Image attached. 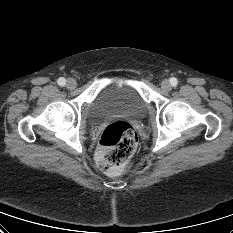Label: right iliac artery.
I'll return each instance as SVG.
<instances>
[{
	"label": "right iliac artery",
	"mask_w": 233,
	"mask_h": 233,
	"mask_svg": "<svg viewBox=\"0 0 233 233\" xmlns=\"http://www.w3.org/2000/svg\"><path fill=\"white\" fill-rule=\"evenodd\" d=\"M57 82H58V84H59L60 86H65V84H66V79L63 78V77H61V78L58 79Z\"/></svg>",
	"instance_id": "obj_1"
}]
</instances>
